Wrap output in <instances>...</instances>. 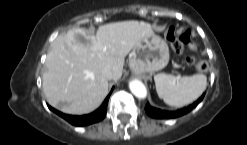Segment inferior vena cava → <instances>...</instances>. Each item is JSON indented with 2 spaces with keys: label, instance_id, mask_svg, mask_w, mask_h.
I'll list each match as a JSON object with an SVG mask.
<instances>
[{
  "label": "inferior vena cava",
  "instance_id": "inferior-vena-cava-1",
  "mask_svg": "<svg viewBox=\"0 0 247 145\" xmlns=\"http://www.w3.org/2000/svg\"><path fill=\"white\" fill-rule=\"evenodd\" d=\"M102 75L108 80L113 79V73L109 68H104L102 70Z\"/></svg>",
  "mask_w": 247,
  "mask_h": 145
}]
</instances>
